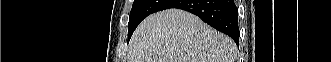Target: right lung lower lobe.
Instances as JSON below:
<instances>
[{
	"instance_id": "obj_1",
	"label": "right lung lower lobe",
	"mask_w": 331,
	"mask_h": 62,
	"mask_svg": "<svg viewBox=\"0 0 331 62\" xmlns=\"http://www.w3.org/2000/svg\"><path fill=\"white\" fill-rule=\"evenodd\" d=\"M178 8L200 17L238 45V9L234 0H171L162 10Z\"/></svg>"
}]
</instances>
